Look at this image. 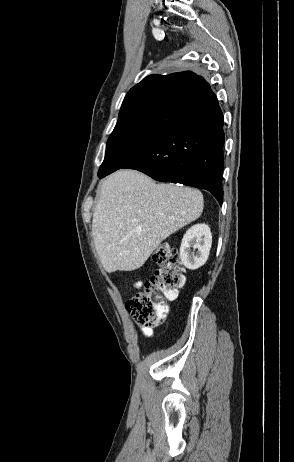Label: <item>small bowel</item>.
<instances>
[{
  "label": "small bowel",
  "instance_id": "obj_1",
  "mask_svg": "<svg viewBox=\"0 0 294 462\" xmlns=\"http://www.w3.org/2000/svg\"><path fill=\"white\" fill-rule=\"evenodd\" d=\"M142 286V281H138L134 284L135 288H140ZM141 332L146 336V337H152L154 334V330L151 327H142L140 328Z\"/></svg>",
  "mask_w": 294,
  "mask_h": 462
}]
</instances>
